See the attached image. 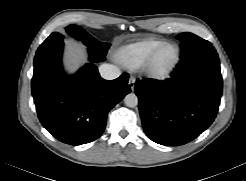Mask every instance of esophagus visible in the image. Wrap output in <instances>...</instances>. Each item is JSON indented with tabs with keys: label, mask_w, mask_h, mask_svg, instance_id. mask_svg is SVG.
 <instances>
[{
	"label": "esophagus",
	"mask_w": 246,
	"mask_h": 181,
	"mask_svg": "<svg viewBox=\"0 0 246 181\" xmlns=\"http://www.w3.org/2000/svg\"><path fill=\"white\" fill-rule=\"evenodd\" d=\"M128 84H129L131 90L133 91L134 87H135V78L134 77H130L129 80H128Z\"/></svg>",
	"instance_id": "34e87169"
}]
</instances>
